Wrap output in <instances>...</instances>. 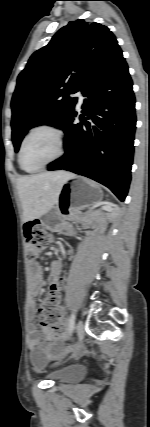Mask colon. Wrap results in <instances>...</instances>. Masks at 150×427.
<instances>
[{
  "instance_id": "obj_1",
  "label": "colon",
  "mask_w": 150,
  "mask_h": 427,
  "mask_svg": "<svg viewBox=\"0 0 150 427\" xmlns=\"http://www.w3.org/2000/svg\"><path fill=\"white\" fill-rule=\"evenodd\" d=\"M24 233L27 239V259L33 262L49 244L52 237L39 220L27 222L24 226ZM39 318L41 325L51 334L57 336L64 334L65 325L59 304V293L55 289H50L42 300L39 306Z\"/></svg>"
}]
</instances>
